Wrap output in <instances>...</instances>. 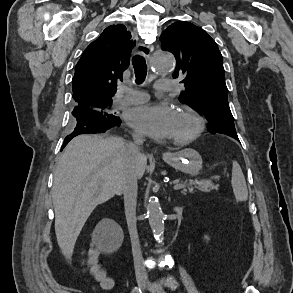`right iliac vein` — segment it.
<instances>
[{
    "label": "right iliac vein",
    "instance_id": "63e3f726",
    "mask_svg": "<svg viewBox=\"0 0 293 293\" xmlns=\"http://www.w3.org/2000/svg\"><path fill=\"white\" fill-rule=\"evenodd\" d=\"M137 282L139 287L144 290L145 289V276L139 274L137 275Z\"/></svg>",
    "mask_w": 293,
    "mask_h": 293
}]
</instances>
